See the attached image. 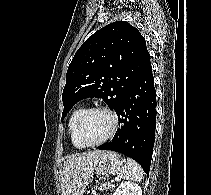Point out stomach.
Wrapping results in <instances>:
<instances>
[{"label": "stomach", "instance_id": "0dacf381", "mask_svg": "<svg viewBox=\"0 0 211 195\" xmlns=\"http://www.w3.org/2000/svg\"><path fill=\"white\" fill-rule=\"evenodd\" d=\"M123 163L124 159L118 153L112 151H103L94 162L92 176L94 173L97 176L114 175L121 170Z\"/></svg>", "mask_w": 211, "mask_h": 195}]
</instances>
